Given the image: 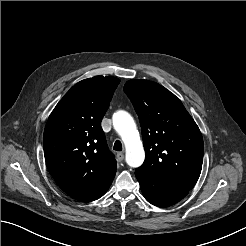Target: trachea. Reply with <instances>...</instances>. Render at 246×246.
Wrapping results in <instances>:
<instances>
[{
	"instance_id": "obj_1",
	"label": "trachea",
	"mask_w": 246,
	"mask_h": 246,
	"mask_svg": "<svg viewBox=\"0 0 246 246\" xmlns=\"http://www.w3.org/2000/svg\"><path fill=\"white\" fill-rule=\"evenodd\" d=\"M113 149L116 150V151H122V143L119 140H117L114 143Z\"/></svg>"
}]
</instances>
